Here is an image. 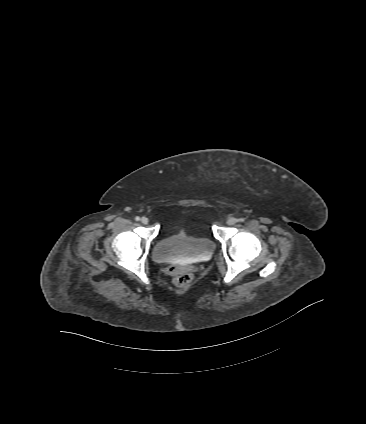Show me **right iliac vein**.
<instances>
[{
	"label": "right iliac vein",
	"mask_w": 366,
	"mask_h": 424,
	"mask_svg": "<svg viewBox=\"0 0 366 424\" xmlns=\"http://www.w3.org/2000/svg\"><path fill=\"white\" fill-rule=\"evenodd\" d=\"M141 222H142L143 224H148L149 219H148L147 217H142V218H141Z\"/></svg>",
	"instance_id": "obj_1"
}]
</instances>
